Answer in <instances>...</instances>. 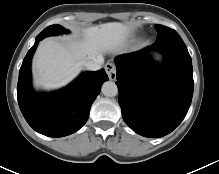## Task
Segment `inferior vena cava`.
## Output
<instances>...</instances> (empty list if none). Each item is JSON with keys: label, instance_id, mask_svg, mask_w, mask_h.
<instances>
[{"label": "inferior vena cava", "instance_id": "602c4592", "mask_svg": "<svg viewBox=\"0 0 219 174\" xmlns=\"http://www.w3.org/2000/svg\"><path fill=\"white\" fill-rule=\"evenodd\" d=\"M103 62H104V58L100 56L92 61L84 62V66L87 70L96 71L101 68V65L103 64Z\"/></svg>", "mask_w": 219, "mask_h": 174}]
</instances>
